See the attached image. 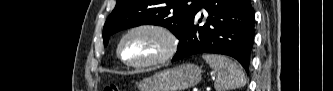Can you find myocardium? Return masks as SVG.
Segmentation results:
<instances>
[{"instance_id":"obj_1","label":"myocardium","mask_w":333,"mask_h":91,"mask_svg":"<svg viewBox=\"0 0 333 91\" xmlns=\"http://www.w3.org/2000/svg\"><path fill=\"white\" fill-rule=\"evenodd\" d=\"M140 31H147V32H152L157 35H159L165 42V49L163 53L158 56L157 58L142 61V62H128L123 55V46L126 41V39L133 33L140 32ZM179 46V39L175 32L162 24H156V23H144V24H138L130 29H128L124 35L121 37L118 47H117V56L118 58L128 67L130 68H147L151 66H156L163 64L165 62H168L171 60Z\"/></svg>"}]
</instances>
